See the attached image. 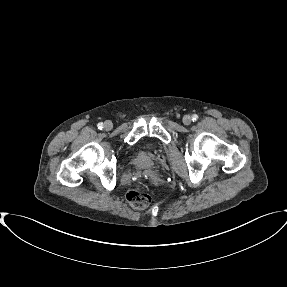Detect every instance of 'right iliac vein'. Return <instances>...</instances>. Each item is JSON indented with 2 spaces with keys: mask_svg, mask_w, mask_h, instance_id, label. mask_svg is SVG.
Segmentation results:
<instances>
[{
  "mask_svg": "<svg viewBox=\"0 0 287 287\" xmlns=\"http://www.w3.org/2000/svg\"><path fill=\"white\" fill-rule=\"evenodd\" d=\"M112 127H113V124H112L111 121H106V122L104 123V128H105L106 130H110V129H112Z\"/></svg>",
  "mask_w": 287,
  "mask_h": 287,
  "instance_id": "63e3f726",
  "label": "right iliac vein"
}]
</instances>
